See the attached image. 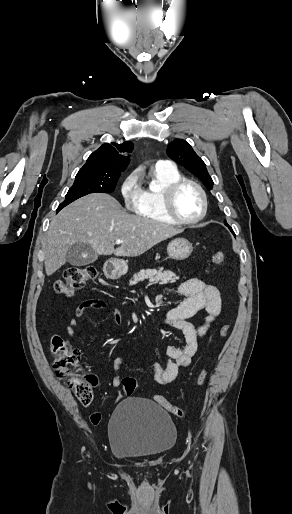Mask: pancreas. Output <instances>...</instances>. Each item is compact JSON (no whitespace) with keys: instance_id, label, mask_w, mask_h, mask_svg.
Listing matches in <instances>:
<instances>
[{"instance_id":"pancreas-1","label":"pancreas","mask_w":292,"mask_h":514,"mask_svg":"<svg viewBox=\"0 0 292 514\" xmlns=\"http://www.w3.org/2000/svg\"><path fill=\"white\" fill-rule=\"evenodd\" d=\"M143 280H149V284H173L177 278L174 272H170V270H141L138 274H134L132 280L129 282V286H134V284H138V282H143Z\"/></svg>"}]
</instances>
